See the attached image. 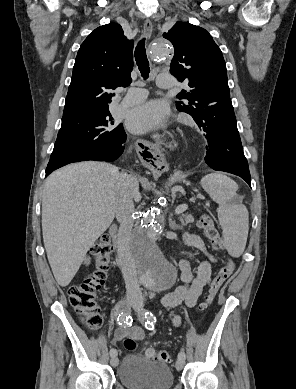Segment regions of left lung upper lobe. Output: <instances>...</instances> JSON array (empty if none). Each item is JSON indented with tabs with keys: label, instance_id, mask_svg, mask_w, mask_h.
<instances>
[{
	"label": "left lung upper lobe",
	"instance_id": "obj_1",
	"mask_svg": "<svg viewBox=\"0 0 296 389\" xmlns=\"http://www.w3.org/2000/svg\"><path fill=\"white\" fill-rule=\"evenodd\" d=\"M163 37L174 46L170 72L182 82L189 81V91L178 94L176 107L192 116L198 127L209 108L230 100L226 64L220 48L203 28L189 22H177Z\"/></svg>",
	"mask_w": 296,
	"mask_h": 389
}]
</instances>
